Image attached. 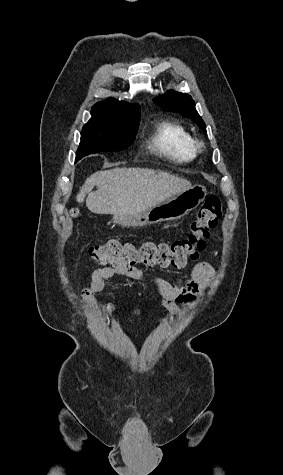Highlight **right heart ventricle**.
<instances>
[{"label": "right heart ventricle", "instance_id": "1", "mask_svg": "<svg viewBox=\"0 0 283 475\" xmlns=\"http://www.w3.org/2000/svg\"><path fill=\"white\" fill-rule=\"evenodd\" d=\"M190 131L179 121L172 119H159L152 125L148 137L149 147L167 155L176 162H192L197 159L198 153L192 146Z\"/></svg>", "mask_w": 283, "mask_h": 475}]
</instances>
